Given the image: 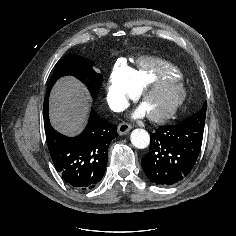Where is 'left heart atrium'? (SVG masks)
Segmentation results:
<instances>
[{
    "instance_id": "obj_1",
    "label": "left heart atrium",
    "mask_w": 236,
    "mask_h": 236,
    "mask_svg": "<svg viewBox=\"0 0 236 236\" xmlns=\"http://www.w3.org/2000/svg\"><path fill=\"white\" fill-rule=\"evenodd\" d=\"M145 113L146 110L143 107H141L134 113V116L135 117L143 116Z\"/></svg>"
}]
</instances>
